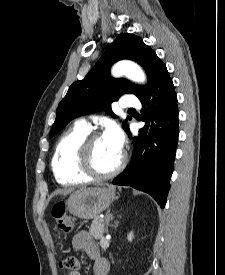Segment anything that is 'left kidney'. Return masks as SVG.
Segmentation results:
<instances>
[{
	"label": "left kidney",
	"mask_w": 225,
	"mask_h": 275,
	"mask_svg": "<svg viewBox=\"0 0 225 275\" xmlns=\"http://www.w3.org/2000/svg\"><path fill=\"white\" fill-rule=\"evenodd\" d=\"M127 239H128V241H130V242L133 240V232H130V233L128 234Z\"/></svg>",
	"instance_id": "left-kidney-1"
}]
</instances>
